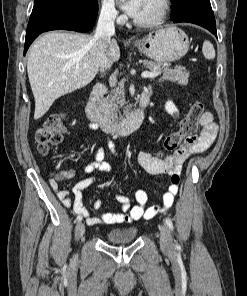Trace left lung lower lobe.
Masks as SVG:
<instances>
[{
  "label": "left lung lower lobe",
  "instance_id": "1",
  "mask_svg": "<svg viewBox=\"0 0 247 296\" xmlns=\"http://www.w3.org/2000/svg\"><path fill=\"white\" fill-rule=\"evenodd\" d=\"M171 21L188 22L208 29L217 37L216 23L209 0H192L183 9L171 14Z\"/></svg>",
  "mask_w": 247,
  "mask_h": 296
}]
</instances>
